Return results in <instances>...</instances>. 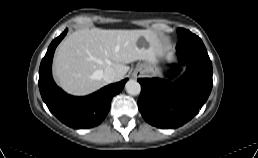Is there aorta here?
Listing matches in <instances>:
<instances>
[{"instance_id": "1", "label": "aorta", "mask_w": 258, "mask_h": 158, "mask_svg": "<svg viewBox=\"0 0 258 158\" xmlns=\"http://www.w3.org/2000/svg\"><path fill=\"white\" fill-rule=\"evenodd\" d=\"M125 88L126 92L130 95H138L141 91L140 84L136 80L127 81Z\"/></svg>"}]
</instances>
